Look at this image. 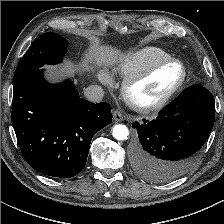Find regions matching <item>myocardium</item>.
I'll list each match as a JSON object with an SVG mask.
<instances>
[{"instance_id": "f54148a6", "label": "myocardium", "mask_w": 224, "mask_h": 224, "mask_svg": "<svg viewBox=\"0 0 224 224\" xmlns=\"http://www.w3.org/2000/svg\"><path fill=\"white\" fill-rule=\"evenodd\" d=\"M171 64L178 65L181 68V77L175 83V85L161 99H159L158 101L154 103H151V104L138 103L132 95L133 88L140 82L149 78L157 70ZM187 76H188V72H187L186 66L177 59L168 58V59L155 62L152 65L145 68L143 71L126 78L122 88L124 99L131 108H133L134 110L140 113H151V112L158 111L162 109L163 107H165L175 97V95L182 89V87L184 86L187 80Z\"/></svg>"}]
</instances>
